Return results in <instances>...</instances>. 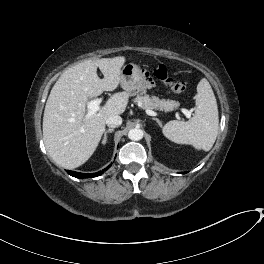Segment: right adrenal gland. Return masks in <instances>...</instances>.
<instances>
[{
  "mask_svg": "<svg viewBox=\"0 0 264 264\" xmlns=\"http://www.w3.org/2000/svg\"><path fill=\"white\" fill-rule=\"evenodd\" d=\"M113 131H114V128H109L108 130L105 131L104 137H103V140H102V144H106V142H107V134L108 133H112Z\"/></svg>",
  "mask_w": 264,
  "mask_h": 264,
  "instance_id": "2a0ac1e0",
  "label": "right adrenal gland"
}]
</instances>
